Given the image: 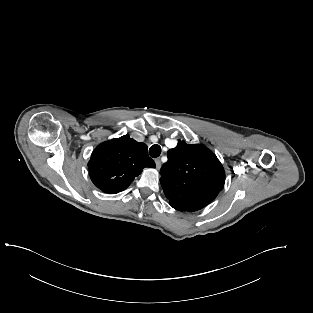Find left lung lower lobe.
<instances>
[{
    "mask_svg": "<svg viewBox=\"0 0 313 313\" xmlns=\"http://www.w3.org/2000/svg\"><path fill=\"white\" fill-rule=\"evenodd\" d=\"M177 210H179V211H184V210H182V209H177Z\"/></svg>",
    "mask_w": 313,
    "mask_h": 313,
    "instance_id": "1",
    "label": "left lung lower lobe"
}]
</instances>
